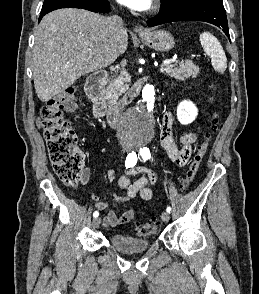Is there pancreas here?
I'll use <instances>...</instances> for the list:
<instances>
[{"label": "pancreas", "instance_id": "1", "mask_svg": "<svg viewBox=\"0 0 259 294\" xmlns=\"http://www.w3.org/2000/svg\"><path fill=\"white\" fill-rule=\"evenodd\" d=\"M160 71L180 81L193 77L200 73L199 67L192 61H182L175 65H163ZM130 76L127 71L122 70L120 75L115 77L108 85L106 93L111 103H115L120 95L129 88Z\"/></svg>", "mask_w": 259, "mask_h": 294}]
</instances>
